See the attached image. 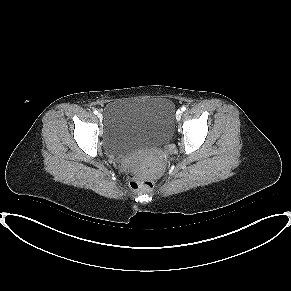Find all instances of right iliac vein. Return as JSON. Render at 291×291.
Here are the masks:
<instances>
[{
    "label": "right iliac vein",
    "instance_id": "63e3f726",
    "mask_svg": "<svg viewBox=\"0 0 291 291\" xmlns=\"http://www.w3.org/2000/svg\"><path fill=\"white\" fill-rule=\"evenodd\" d=\"M97 116H98L99 119H102V114L101 113H98Z\"/></svg>",
    "mask_w": 291,
    "mask_h": 291
}]
</instances>
